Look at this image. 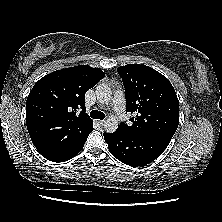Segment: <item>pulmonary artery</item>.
I'll use <instances>...</instances> for the list:
<instances>
[{
	"instance_id": "1",
	"label": "pulmonary artery",
	"mask_w": 222,
	"mask_h": 222,
	"mask_svg": "<svg viewBox=\"0 0 222 222\" xmlns=\"http://www.w3.org/2000/svg\"><path fill=\"white\" fill-rule=\"evenodd\" d=\"M112 108L119 120L126 119L125 99L122 92H116L112 101Z\"/></svg>"
}]
</instances>
